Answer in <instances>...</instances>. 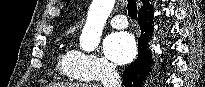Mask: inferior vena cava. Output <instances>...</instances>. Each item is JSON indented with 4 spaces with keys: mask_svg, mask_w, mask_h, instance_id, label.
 <instances>
[{
    "mask_svg": "<svg viewBox=\"0 0 205 87\" xmlns=\"http://www.w3.org/2000/svg\"><path fill=\"white\" fill-rule=\"evenodd\" d=\"M101 82L104 87H121V78L114 65L106 64L104 66Z\"/></svg>",
    "mask_w": 205,
    "mask_h": 87,
    "instance_id": "inferior-vena-cava-1",
    "label": "inferior vena cava"
}]
</instances>
